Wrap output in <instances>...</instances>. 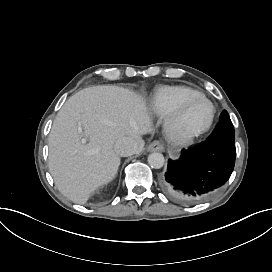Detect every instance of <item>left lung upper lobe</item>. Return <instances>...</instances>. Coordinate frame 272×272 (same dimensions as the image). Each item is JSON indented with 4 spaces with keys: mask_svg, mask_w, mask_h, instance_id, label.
Wrapping results in <instances>:
<instances>
[{
    "mask_svg": "<svg viewBox=\"0 0 272 272\" xmlns=\"http://www.w3.org/2000/svg\"><path fill=\"white\" fill-rule=\"evenodd\" d=\"M207 141L235 145L234 127L226 110H223L217 128Z\"/></svg>",
    "mask_w": 272,
    "mask_h": 272,
    "instance_id": "obj_1",
    "label": "left lung upper lobe"
}]
</instances>
